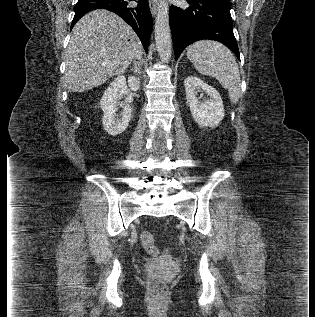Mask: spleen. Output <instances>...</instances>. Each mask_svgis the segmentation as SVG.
<instances>
[{
	"label": "spleen",
	"mask_w": 315,
	"mask_h": 317,
	"mask_svg": "<svg viewBox=\"0 0 315 317\" xmlns=\"http://www.w3.org/2000/svg\"><path fill=\"white\" fill-rule=\"evenodd\" d=\"M187 57L200 74L218 79L228 90L232 103L239 101L240 72L234 55L226 46L216 41H197L188 47Z\"/></svg>",
	"instance_id": "1"
}]
</instances>
